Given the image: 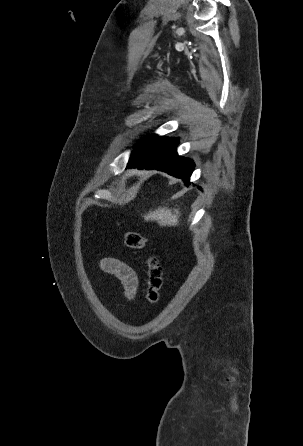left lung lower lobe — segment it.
Returning a JSON list of instances; mask_svg holds the SVG:
<instances>
[{
  "mask_svg": "<svg viewBox=\"0 0 303 446\" xmlns=\"http://www.w3.org/2000/svg\"><path fill=\"white\" fill-rule=\"evenodd\" d=\"M177 138H164L141 154L130 158L127 167L139 169H157L174 177L189 181L195 167L191 159L178 156Z\"/></svg>",
  "mask_w": 303,
  "mask_h": 446,
  "instance_id": "obj_1",
  "label": "left lung lower lobe"
}]
</instances>
